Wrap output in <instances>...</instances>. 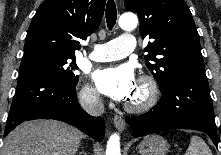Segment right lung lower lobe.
<instances>
[{
  "label": "right lung lower lobe",
  "instance_id": "1",
  "mask_svg": "<svg viewBox=\"0 0 221 155\" xmlns=\"http://www.w3.org/2000/svg\"><path fill=\"white\" fill-rule=\"evenodd\" d=\"M75 86L36 70L19 75L4 136L24 121L55 119L71 124L101 141L105 122L101 117H92L82 110Z\"/></svg>",
  "mask_w": 221,
  "mask_h": 155
}]
</instances>
